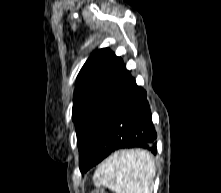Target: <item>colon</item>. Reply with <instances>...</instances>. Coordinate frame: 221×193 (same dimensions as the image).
<instances>
[{
	"instance_id": "1",
	"label": "colon",
	"mask_w": 221,
	"mask_h": 193,
	"mask_svg": "<svg viewBox=\"0 0 221 193\" xmlns=\"http://www.w3.org/2000/svg\"><path fill=\"white\" fill-rule=\"evenodd\" d=\"M93 193H105V192L102 191V190H96V191H94Z\"/></svg>"
}]
</instances>
